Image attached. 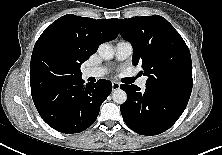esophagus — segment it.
Wrapping results in <instances>:
<instances>
[{"label":"esophagus","instance_id":"esophagus-1","mask_svg":"<svg viewBox=\"0 0 222 155\" xmlns=\"http://www.w3.org/2000/svg\"><path fill=\"white\" fill-rule=\"evenodd\" d=\"M120 88V84L118 82H112V89L113 90H118Z\"/></svg>","mask_w":222,"mask_h":155}]
</instances>
